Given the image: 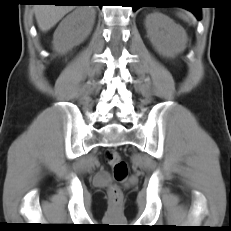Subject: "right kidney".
I'll list each match as a JSON object with an SVG mask.
<instances>
[{
  "label": "right kidney",
  "mask_w": 231,
  "mask_h": 231,
  "mask_svg": "<svg viewBox=\"0 0 231 231\" xmlns=\"http://www.w3.org/2000/svg\"><path fill=\"white\" fill-rule=\"evenodd\" d=\"M95 20V11L88 6L76 8L59 24L53 35V49L66 54L81 44L90 34Z\"/></svg>",
  "instance_id": "obj_1"
}]
</instances>
